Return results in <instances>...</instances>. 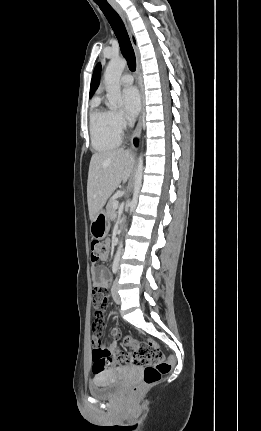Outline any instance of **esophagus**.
Wrapping results in <instances>:
<instances>
[{"label": "esophagus", "mask_w": 261, "mask_h": 431, "mask_svg": "<svg viewBox=\"0 0 261 431\" xmlns=\"http://www.w3.org/2000/svg\"><path fill=\"white\" fill-rule=\"evenodd\" d=\"M112 6L117 11V13L121 16V18L124 20V22H126V16H125V13L122 10V8L116 3H112ZM136 72H137V75H139L140 64H139L138 59H137V64H136ZM139 88H140L141 112H140L137 126H136L135 131H134V137L140 136L141 130H142V125H143V119H144L145 98H144V91H143V88H142L140 82H139ZM131 146H132V148H134L133 144Z\"/></svg>", "instance_id": "34e87169"}]
</instances>
